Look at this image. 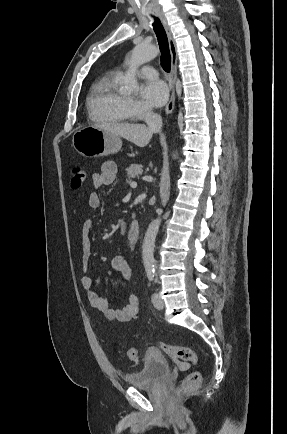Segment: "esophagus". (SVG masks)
<instances>
[{"label": "esophagus", "mask_w": 287, "mask_h": 434, "mask_svg": "<svg viewBox=\"0 0 287 434\" xmlns=\"http://www.w3.org/2000/svg\"><path fill=\"white\" fill-rule=\"evenodd\" d=\"M158 16H159L161 23H162V25L166 31L168 41H169L170 53H171V73H170L171 95H170V99H169V101L166 105V108H165L166 114H170L173 111L174 105H175L174 85H175V78H176V71H177V49H176V44H175V41L173 38L171 28H170L165 16L163 15L162 12H159Z\"/></svg>", "instance_id": "esophagus-1"}]
</instances>
